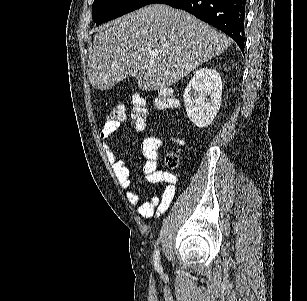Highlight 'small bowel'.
Masks as SVG:
<instances>
[{
    "instance_id": "small-bowel-1",
    "label": "small bowel",
    "mask_w": 307,
    "mask_h": 301,
    "mask_svg": "<svg viewBox=\"0 0 307 301\" xmlns=\"http://www.w3.org/2000/svg\"><path fill=\"white\" fill-rule=\"evenodd\" d=\"M118 128L119 124L117 123L105 122L101 131V139L116 179L121 188L126 190L128 202L132 205H136L137 213L141 217L150 218L159 216L170 207L175 197V184L177 182V176L174 173L158 168V149L162 145V141L155 136L146 137L142 141L141 149L146 160L144 165L146 178L150 183L163 184V190L160 194L153 195L150 200L141 202L144 193L130 189L131 179L127 162L119 158L117 153L107 144Z\"/></svg>"
}]
</instances>
